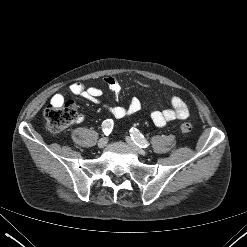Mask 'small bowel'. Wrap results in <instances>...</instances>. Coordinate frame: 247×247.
Returning a JSON list of instances; mask_svg holds the SVG:
<instances>
[{
    "mask_svg": "<svg viewBox=\"0 0 247 247\" xmlns=\"http://www.w3.org/2000/svg\"><path fill=\"white\" fill-rule=\"evenodd\" d=\"M105 85L114 93L118 98L120 94V84L114 77H107L104 79ZM144 88L148 86L146 84L138 82ZM70 91L77 96H80L92 103L100 104V97L103 94L102 89L94 86L87 87L81 82H74L70 85ZM63 97L60 94H56L52 98V103H61ZM171 107L167 109L160 110L154 108L151 111L150 117L152 122L157 127H164L167 123L174 120H185L189 117V108L184 100L179 97H172L170 101ZM103 107L116 119H122L132 116L140 111L142 107V102L134 97L131 99L127 106H109L104 104ZM82 117L79 116L78 120Z\"/></svg>",
    "mask_w": 247,
    "mask_h": 247,
    "instance_id": "1",
    "label": "small bowel"
}]
</instances>
